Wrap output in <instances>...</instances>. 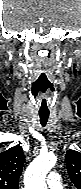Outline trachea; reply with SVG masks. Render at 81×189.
Returning <instances> with one entry per match:
<instances>
[{
    "label": "trachea",
    "mask_w": 81,
    "mask_h": 189,
    "mask_svg": "<svg viewBox=\"0 0 81 189\" xmlns=\"http://www.w3.org/2000/svg\"><path fill=\"white\" fill-rule=\"evenodd\" d=\"M39 116H40L41 125L44 127L48 122L49 112H40Z\"/></svg>",
    "instance_id": "obj_1"
}]
</instances>
